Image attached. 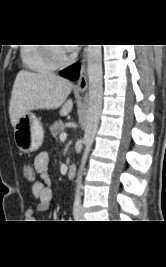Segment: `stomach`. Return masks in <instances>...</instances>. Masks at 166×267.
Segmentation results:
<instances>
[{
	"mask_svg": "<svg viewBox=\"0 0 166 267\" xmlns=\"http://www.w3.org/2000/svg\"><path fill=\"white\" fill-rule=\"evenodd\" d=\"M44 131L39 119L33 113L24 114L14 126L16 146L24 153H31L40 148Z\"/></svg>",
	"mask_w": 166,
	"mask_h": 267,
	"instance_id": "obj_1",
	"label": "stomach"
}]
</instances>
